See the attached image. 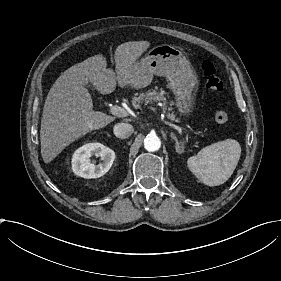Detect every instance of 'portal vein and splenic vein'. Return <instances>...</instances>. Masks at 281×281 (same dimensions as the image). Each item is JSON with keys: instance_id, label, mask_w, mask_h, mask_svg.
<instances>
[{"instance_id": "1", "label": "portal vein and splenic vein", "mask_w": 281, "mask_h": 281, "mask_svg": "<svg viewBox=\"0 0 281 281\" xmlns=\"http://www.w3.org/2000/svg\"><path fill=\"white\" fill-rule=\"evenodd\" d=\"M152 109H154V108H152ZM110 112H111L112 115H115L117 117H127L128 116V112L124 108H122V107H120L118 105H112L110 107ZM159 119L161 120L162 118L160 117ZM163 123L165 125L167 124L168 126L173 127V129L178 131L180 134L182 132L185 133L186 134V136H185L186 140L185 141L187 143L189 142L187 140L188 139L187 134H191L193 137H197L198 136V133L195 132L194 130H191L189 128L180 127L179 125L174 124L172 121H168L167 123L164 121ZM181 137L183 138L184 136L182 135Z\"/></svg>"}]
</instances>
